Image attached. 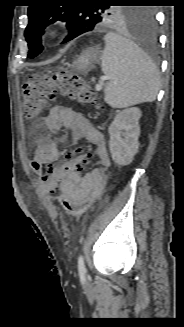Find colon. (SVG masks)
Returning a JSON list of instances; mask_svg holds the SVG:
<instances>
[{
	"instance_id": "1",
	"label": "colon",
	"mask_w": 184,
	"mask_h": 327,
	"mask_svg": "<svg viewBox=\"0 0 184 327\" xmlns=\"http://www.w3.org/2000/svg\"><path fill=\"white\" fill-rule=\"evenodd\" d=\"M76 100L79 103L93 104L95 93L82 77L68 71L32 77L23 87L22 112L25 118L37 117L47 108L56 94ZM76 150V153H80ZM51 201L75 216L82 215L91 205L87 200H74L66 195L51 196Z\"/></svg>"
}]
</instances>
